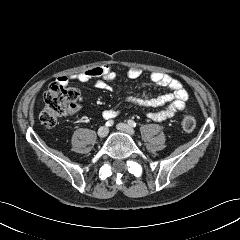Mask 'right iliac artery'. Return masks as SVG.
<instances>
[{
	"label": "right iliac artery",
	"instance_id": "obj_1",
	"mask_svg": "<svg viewBox=\"0 0 240 240\" xmlns=\"http://www.w3.org/2000/svg\"><path fill=\"white\" fill-rule=\"evenodd\" d=\"M113 124H114V121H113V120H108L105 125H106L107 127H110V126H112Z\"/></svg>",
	"mask_w": 240,
	"mask_h": 240
}]
</instances>
